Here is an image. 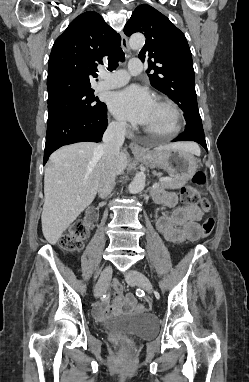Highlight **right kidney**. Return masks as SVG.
<instances>
[{"label": "right kidney", "mask_w": 249, "mask_h": 382, "mask_svg": "<svg viewBox=\"0 0 249 382\" xmlns=\"http://www.w3.org/2000/svg\"><path fill=\"white\" fill-rule=\"evenodd\" d=\"M98 208L95 205H90L86 211V216L84 218V223L89 227L90 230L96 229V224L98 223Z\"/></svg>", "instance_id": "obj_1"}]
</instances>
